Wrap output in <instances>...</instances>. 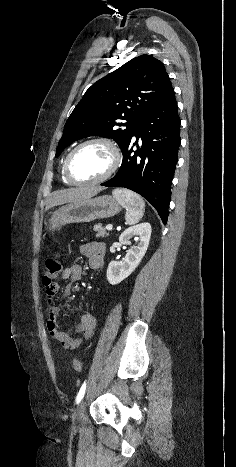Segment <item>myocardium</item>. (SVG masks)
Here are the masks:
<instances>
[{
	"instance_id": "myocardium-1",
	"label": "myocardium",
	"mask_w": 236,
	"mask_h": 467,
	"mask_svg": "<svg viewBox=\"0 0 236 467\" xmlns=\"http://www.w3.org/2000/svg\"><path fill=\"white\" fill-rule=\"evenodd\" d=\"M92 144H101V145L106 146L108 148V150L111 153V157H112L111 165H110L109 169L107 170V172L104 175H102L101 177H99L97 179H94V180H91V181H79L74 177V175L72 173V170H71L72 160H73L75 154L80 149H82L83 147H86L88 145H92ZM121 163H122V154H121V151H120V148L118 147V145L110 138L96 137V138H92V139H89V140H86V141L80 143L79 145H77L69 153V155L67 156V159L65 161V165H64V175H65L66 179L71 184H74V185H80V186L95 185V184L102 183V182L108 180L109 178H111L118 171V169L121 166Z\"/></svg>"
}]
</instances>
